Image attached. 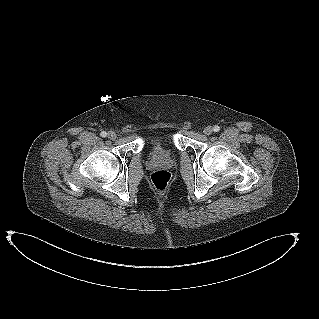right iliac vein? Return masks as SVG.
I'll return each mask as SVG.
<instances>
[{
	"label": "right iliac vein",
	"mask_w": 319,
	"mask_h": 319,
	"mask_svg": "<svg viewBox=\"0 0 319 319\" xmlns=\"http://www.w3.org/2000/svg\"><path fill=\"white\" fill-rule=\"evenodd\" d=\"M109 139H111V140H115L116 139V137H117V135H116V133L115 132H113V131H109L108 132V136H107Z\"/></svg>",
	"instance_id": "1"
}]
</instances>
